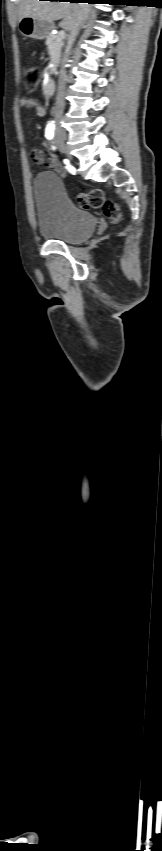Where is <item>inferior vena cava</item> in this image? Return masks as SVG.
I'll return each instance as SVG.
<instances>
[{
  "label": "inferior vena cava",
  "instance_id": "602c4592",
  "mask_svg": "<svg viewBox=\"0 0 162 851\" xmlns=\"http://www.w3.org/2000/svg\"><path fill=\"white\" fill-rule=\"evenodd\" d=\"M82 4H85V3H82ZM87 16H88V12L86 10H82L80 12L79 17H78V23H77L76 27L70 32V36H69V44L70 45H72L74 43V41H75L79 31H80V28L83 25V23L85 22ZM66 80H67V76H66L65 73H63L62 76L60 77V80H59L57 96H56V103H55V110H54L55 131H56V133H63V134H64V130L61 127V119H62V116H63L64 107H65L64 91H65Z\"/></svg>",
  "mask_w": 162,
  "mask_h": 851
}]
</instances>
